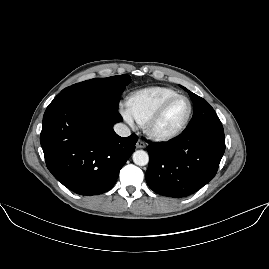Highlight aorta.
I'll return each instance as SVG.
<instances>
[{
	"label": "aorta",
	"instance_id": "aorta-1",
	"mask_svg": "<svg viewBox=\"0 0 269 269\" xmlns=\"http://www.w3.org/2000/svg\"><path fill=\"white\" fill-rule=\"evenodd\" d=\"M133 161L136 165L145 166L149 162V156L145 151L137 150L133 153Z\"/></svg>",
	"mask_w": 269,
	"mask_h": 269
}]
</instances>
